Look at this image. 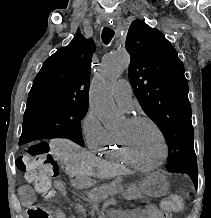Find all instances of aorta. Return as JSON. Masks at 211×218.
I'll list each match as a JSON object with an SVG mask.
<instances>
[{
  "instance_id": "762f6f07",
  "label": "aorta",
  "mask_w": 211,
  "mask_h": 218,
  "mask_svg": "<svg viewBox=\"0 0 211 218\" xmlns=\"http://www.w3.org/2000/svg\"><path fill=\"white\" fill-rule=\"evenodd\" d=\"M129 63L130 56L127 52L106 56L91 83L90 106L104 127L111 131L120 130L124 124V116L113 100L112 86Z\"/></svg>"
}]
</instances>
